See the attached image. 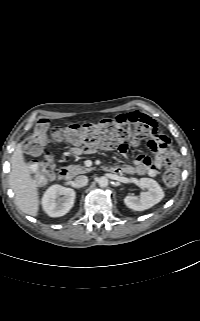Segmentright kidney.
<instances>
[{"label":"right kidney","mask_w":200,"mask_h":321,"mask_svg":"<svg viewBox=\"0 0 200 321\" xmlns=\"http://www.w3.org/2000/svg\"><path fill=\"white\" fill-rule=\"evenodd\" d=\"M75 196L76 193L72 188L52 185L43 195V210L50 217H61L73 207Z\"/></svg>","instance_id":"1"}]
</instances>
